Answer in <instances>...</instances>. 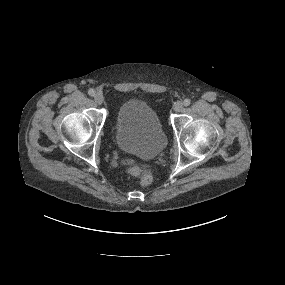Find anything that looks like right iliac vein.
Listing matches in <instances>:
<instances>
[{"instance_id": "right-iliac-vein-1", "label": "right iliac vein", "mask_w": 285, "mask_h": 285, "mask_svg": "<svg viewBox=\"0 0 285 285\" xmlns=\"http://www.w3.org/2000/svg\"><path fill=\"white\" fill-rule=\"evenodd\" d=\"M94 100L97 104L101 105L104 102V97L102 94H96Z\"/></svg>"}]
</instances>
